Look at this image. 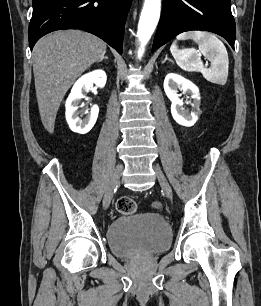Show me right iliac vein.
Instances as JSON below:
<instances>
[{
    "label": "right iliac vein",
    "mask_w": 261,
    "mask_h": 306,
    "mask_svg": "<svg viewBox=\"0 0 261 306\" xmlns=\"http://www.w3.org/2000/svg\"><path fill=\"white\" fill-rule=\"evenodd\" d=\"M122 169L123 166L122 164H118L116 166V168L114 169V172L110 178V181L107 185L106 191H105V195H104V199H103V207L104 209H107L110 205L112 196H113V191L114 188L117 186V184L119 183L120 177H121V173H122Z\"/></svg>",
    "instance_id": "1"
}]
</instances>
